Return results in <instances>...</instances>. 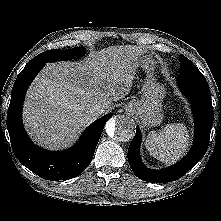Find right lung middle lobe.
<instances>
[{"mask_svg":"<svg viewBox=\"0 0 221 221\" xmlns=\"http://www.w3.org/2000/svg\"><path fill=\"white\" fill-rule=\"evenodd\" d=\"M84 47H76L68 50L54 49L45 51L36 57H34L28 63H38V62H56L58 60H68L71 58H79L85 53Z\"/></svg>","mask_w":221,"mask_h":221,"instance_id":"dd1d6c3e","label":"right lung middle lobe"}]
</instances>
